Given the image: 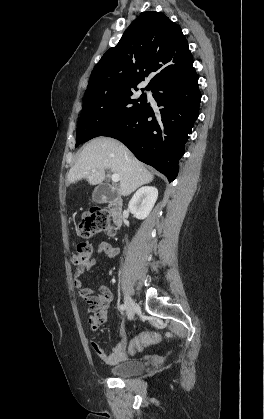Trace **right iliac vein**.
Here are the masks:
<instances>
[{
	"label": "right iliac vein",
	"instance_id": "right-iliac-vein-1",
	"mask_svg": "<svg viewBox=\"0 0 264 419\" xmlns=\"http://www.w3.org/2000/svg\"><path fill=\"white\" fill-rule=\"evenodd\" d=\"M125 306L128 318L133 319L137 306L133 299L128 295L125 296Z\"/></svg>",
	"mask_w": 264,
	"mask_h": 419
}]
</instances>
